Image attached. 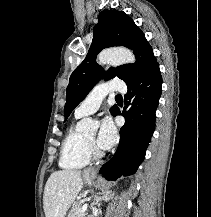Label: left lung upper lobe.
I'll return each instance as SVG.
<instances>
[{
  "mask_svg": "<svg viewBox=\"0 0 211 217\" xmlns=\"http://www.w3.org/2000/svg\"><path fill=\"white\" fill-rule=\"evenodd\" d=\"M98 19L88 54L69 79L64 108L65 121L101 78L109 80L117 76L129 84L158 64L144 33L127 14L117 10H104ZM115 46H124L133 50L136 62L112 67L105 72L96 63V56L104 48ZM117 109L116 105L111 107V114L113 115Z\"/></svg>",
  "mask_w": 211,
  "mask_h": 217,
  "instance_id": "5c2ea615",
  "label": "left lung upper lobe"
}]
</instances>
